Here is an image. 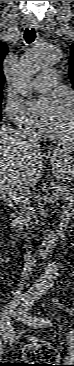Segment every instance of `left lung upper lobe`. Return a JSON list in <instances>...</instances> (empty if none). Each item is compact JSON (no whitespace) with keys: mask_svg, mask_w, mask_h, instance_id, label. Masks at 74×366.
Masks as SVG:
<instances>
[{"mask_svg":"<svg viewBox=\"0 0 74 366\" xmlns=\"http://www.w3.org/2000/svg\"><path fill=\"white\" fill-rule=\"evenodd\" d=\"M69 75L72 82V85L74 87V44L71 45V56L69 60Z\"/></svg>","mask_w":74,"mask_h":366,"instance_id":"5c2ea615","label":"left lung upper lobe"}]
</instances>
